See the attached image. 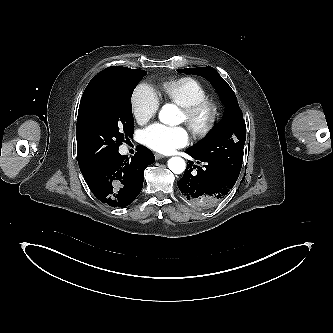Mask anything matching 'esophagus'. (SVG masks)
Returning a JSON list of instances; mask_svg holds the SVG:
<instances>
[{
	"label": "esophagus",
	"instance_id": "obj_1",
	"mask_svg": "<svg viewBox=\"0 0 333 333\" xmlns=\"http://www.w3.org/2000/svg\"><path fill=\"white\" fill-rule=\"evenodd\" d=\"M164 157H165V156L162 155V154L155 153V159H156V160H159V159L164 158Z\"/></svg>",
	"mask_w": 333,
	"mask_h": 333
}]
</instances>
